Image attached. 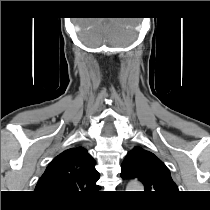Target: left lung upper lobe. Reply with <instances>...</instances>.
<instances>
[{"label":"left lung upper lobe","instance_id":"1","mask_svg":"<svg viewBox=\"0 0 210 210\" xmlns=\"http://www.w3.org/2000/svg\"><path fill=\"white\" fill-rule=\"evenodd\" d=\"M121 169L122 178H137L144 184L147 193L166 196L178 191L165 164L153 153L141 147L136 146L128 152Z\"/></svg>","mask_w":210,"mask_h":210}]
</instances>
